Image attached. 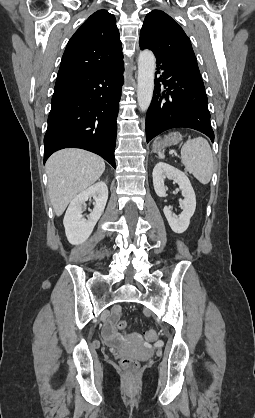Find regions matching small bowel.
Here are the masks:
<instances>
[{"label":"small bowel","mask_w":255,"mask_h":418,"mask_svg":"<svg viewBox=\"0 0 255 418\" xmlns=\"http://www.w3.org/2000/svg\"><path fill=\"white\" fill-rule=\"evenodd\" d=\"M118 317H120V309H119V307H115V308L113 309L112 322H113V321H116V319H117ZM104 337H105L106 341H108V342H110V343H111V342H114V341L116 340V338H117V333L115 332V330H114V328H113L112 324H109V325H107V326L105 327V330H104Z\"/></svg>","instance_id":"c3829d8e"}]
</instances>
